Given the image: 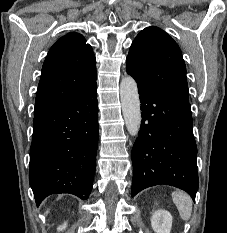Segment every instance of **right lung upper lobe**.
<instances>
[{
  "label": "right lung upper lobe",
  "mask_w": 227,
  "mask_h": 233,
  "mask_svg": "<svg viewBox=\"0 0 227 233\" xmlns=\"http://www.w3.org/2000/svg\"><path fill=\"white\" fill-rule=\"evenodd\" d=\"M96 83V60L84 37L70 32L49 50L42 67L34 116L75 97Z\"/></svg>",
  "instance_id": "right-lung-upper-lobe-1"
}]
</instances>
